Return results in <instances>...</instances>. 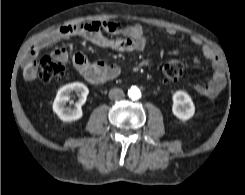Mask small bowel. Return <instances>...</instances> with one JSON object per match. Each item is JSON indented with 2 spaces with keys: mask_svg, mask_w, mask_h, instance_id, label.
I'll use <instances>...</instances> for the list:
<instances>
[{
  "mask_svg": "<svg viewBox=\"0 0 245 195\" xmlns=\"http://www.w3.org/2000/svg\"><path fill=\"white\" fill-rule=\"evenodd\" d=\"M174 35L176 31L169 29ZM111 34L115 38H110ZM68 37H82L98 46L118 51H141L146 46V36L141 25H125L111 21H91L78 24L63 25L51 30L37 40L27 51L23 60V72L27 80H34L37 76L35 59L38 54L53 43ZM190 40L201 48L203 56L211 63L213 74L206 83H198L195 91L205 97L213 98L223 89L226 79L223 66L212 48L199 36L191 35ZM54 57L68 60L65 49L58 48L53 52ZM75 69L90 83L98 85L114 79L120 73L117 64H107L102 61L90 62L83 54L74 55ZM197 62L198 59L196 58Z\"/></svg>",
  "mask_w": 245,
  "mask_h": 195,
  "instance_id": "1",
  "label": "small bowel"
}]
</instances>
